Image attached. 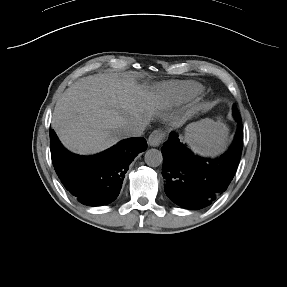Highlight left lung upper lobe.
I'll return each mask as SVG.
<instances>
[{
    "mask_svg": "<svg viewBox=\"0 0 287 287\" xmlns=\"http://www.w3.org/2000/svg\"><path fill=\"white\" fill-rule=\"evenodd\" d=\"M233 114H234L235 117H240L238 109H237V107L235 105L233 106Z\"/></svg>",
    "mask_w": 287,
    "mask_h": 287,
    "instance_id": "1",
    "label": "left lung upper lobe"
}]
</instances>
